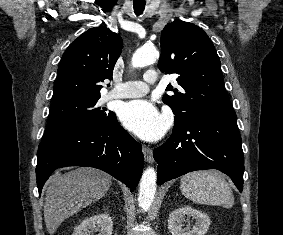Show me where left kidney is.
<instances>
[{
	"instance_id": "obj_1",
	"label": "left kidney",
	"mask_w": 283,
	"mask_h": 235,
	"mask_svg": "<svg viewBox=\"0 0 283 235\" xmlns=\"http://www.w3.org/2000/svg\"><path fill=\"white\" fill-rule=\"evenodd\" d=\"M192 217L195 224L191 228L187 226L183 228L185 217ZM211 224L210 218L207 214L198 211L190 206H184L174 210L168 219V229L172 235H205Z\"/></svg>"
}]
</instances>
